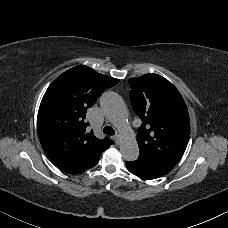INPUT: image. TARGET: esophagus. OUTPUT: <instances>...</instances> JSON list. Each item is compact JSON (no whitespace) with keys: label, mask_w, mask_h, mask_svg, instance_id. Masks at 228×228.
<instances>
[{"label":"esophagus","mask_w":228,"mask_h":228,"mask_svg":"<svg viewBox=\"0 0 228 228\" xmlns=\"http://www.w3.org/2000/svg\"><path fill=\"white\" fill-rule=\"evenodd\" d=\"M120 137H121L120 132H117L115 135V138H116L118 144L120 143Z\"/></svg>","instance_id":"esophagus-1"}]
</instances>
